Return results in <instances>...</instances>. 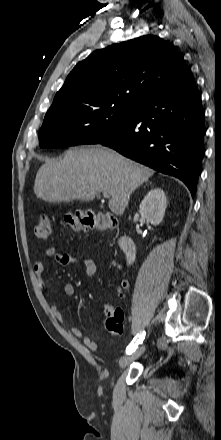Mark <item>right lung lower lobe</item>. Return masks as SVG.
I'll return each mask as SVG.
<instances>
[{
    "mask_svg": "<svg viewBox=\"0 0 221 440\" xmlns=\"http://www.w3.org/2000/svg\"><path fill=\"white\" fill-rule=\"evenodd\" d=\"M204 133L201 96L191 81L136 105L127 121L99 143L179 178L194 197Z\"/></svg>",
    "mask_w": 221,
    "mask_h": 440,
    "instance_id": "obj_1",
    "label": "right lung lower lobe"
}]
</instances>
